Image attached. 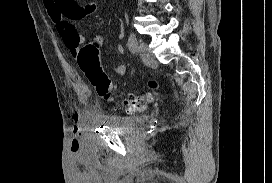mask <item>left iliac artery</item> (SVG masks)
<instances>
[{"mask_svg": "<svg viewBox=\"0 0 272 183\" xmlns=\"http://www.w3.org/2000/svg\"><path fill=\"white\" fill-rule=\"evenodd\" d=\"M128 48L132 53L137 52V37L135 33L131 32L128 38Z\"/></svg>", "mask_w": 272, "mask_h": 183, "instance_id": "44dca946", "label": "left iliac artery"}]
</instances>
